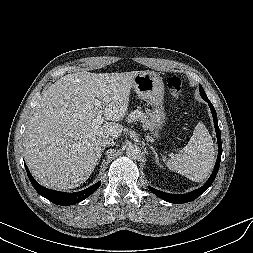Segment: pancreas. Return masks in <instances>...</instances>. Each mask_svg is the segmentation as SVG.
<instances>
[{"label":"pancreas","mask_w":253,"mask_h":253,"mask_svg":"<svg viewBox=\"0 0 253 253\" xmlns=\"http://www.w3.org/2000/svg\"><path fill=\"white\" fill-rule=\"evenodd\" d=\"M128 122H135V121H141L143 124L144 128L150 129V123L147 115L143 113L141 110H135L132 111L128 117H127Z\"/></svg>","instance_id":"1"}]
</instances>
